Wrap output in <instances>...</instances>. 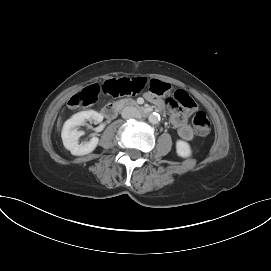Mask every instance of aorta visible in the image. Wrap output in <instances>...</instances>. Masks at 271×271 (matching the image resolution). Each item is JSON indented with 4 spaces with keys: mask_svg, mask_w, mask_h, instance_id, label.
Returning <instances> with one entry per match:
<instances>
[{
    "mask_svg": "<svg viewBox=\"0 0 271 271\" xmlns=\"http://www.w3.org/2000/svg\"><path fill=\"white\" fill-rule=\"evenodd\" d=\"M148 120L151 124H157L160 121V115L158 113H152L149 115Z\"/></svg>",
    "mask_w": 271,
    "mask_h": 271,
    "instance_id": "obj_1",
    "label": "aorta"
}]
</instances>
